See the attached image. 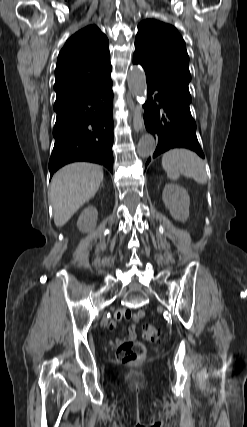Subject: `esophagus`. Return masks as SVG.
<instances>
[{
	"instance_id": "obj_1",
	"label": "esophagus",
	"mask_w": 247,
	"mask_h": 427,
	"mask_svg": "<svg viewBox=\"0 0 247 427\" xmlns=\"http://www.w3.org/2000/svg\"><path fill=\"white\" fill-rule=\"evenodd\" d=\"M133 128L136 133L144 130V122L141 112V107L136 105L133 110Z\"/></svg>"
}]
</instances>
